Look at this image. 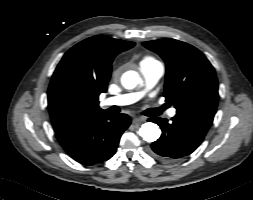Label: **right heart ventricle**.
<instances>
[{"label":"right heart ventricle","mask_w":253,"mask_h":200,"mask_svg":"<svg viewBox=\"0 0 253 200\" xmlns=\"http://www.w3.org/2000/svg\"><path fill=\"white\" fill-rule=\"evenodd\" d=\"M152 60H154V59L151 58V57H145V58L142 60V62H144V61H152Z\"/></svg>","instance_id":"1"}]
</instances>
